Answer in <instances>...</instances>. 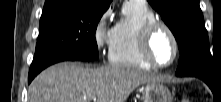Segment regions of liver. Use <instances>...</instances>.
Listing matches in <instances>:
<instances>
[{
  "label": "liver",
  "instance_id": "liver-1",
  "mask_svg": "<svg viewBox=\"0 0 221 102\" xmlns=\"http://www.w3.org/2000/svg\"><path fill=\"white\" fill-rule=\"evenodd\" d=\"M158 78L126 66L88 68L60 63L42 71L28 88L29 102H125L141 84Z\"/></svg>",
  "mask_w": 221,
  "mask_h": 102
}]
</instances>
